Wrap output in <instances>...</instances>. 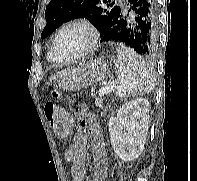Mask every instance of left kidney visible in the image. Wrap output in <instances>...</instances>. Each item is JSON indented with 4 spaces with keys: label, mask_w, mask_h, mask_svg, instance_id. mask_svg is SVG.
<instances>
[{
    "label": "left kidney",
    "mask_w": 197,
    "mask_h": 181,
    "mask_svg": "<svg viewBox=\"0 0 197 181\" xmlns=\"http://www.w3.org/2000/svg\"><path fill=\"white\" fill-rule=\"evenodd\" d=\"M149 124V102L139 98L125 102L115 117L109 119L108 127L112 148L117 157L132 161L142 153Z\"/></svg>",
    "instance_id": "obj_1"
}]
</instances>
